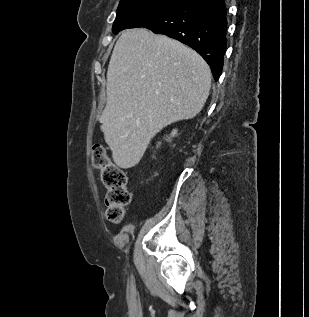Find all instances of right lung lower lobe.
<instances>
[{"label":"right lung lower lobe","mask_w":309,"mask_h":317,"mask_svg":"<svg viewBox=\"0 0 309 317\" xmlns=\"http://www.w3.org/2000/svg\"><path fill=\"white\" fill-rule=\"evenodd\" d=\"M137 27L187 44L205 59L218 81L227 47L224 0H181L140 16L126 28Z\"/></svg>","instance_id":"98d812e1"}]
</instances>
